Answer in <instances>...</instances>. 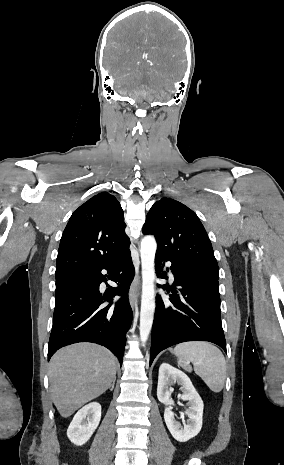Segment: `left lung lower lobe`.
<instances>
[{
  "instance_id": "1",
  "label": "left lung lower lobe",
  "mask_w": 284,
  "mask_h": 465,
  "mask_svg": "<svg viewBox=\"0 0 284 465\" xmlns=\"http://www.w3.org/2000/svg\"><path fill=\"white\" fill-rule=\"evenodd\" d=\"M163 261L169 260L156 253L157 277L166 279V272L161 273ZM170 269L175 279L172 287L158 284L173 295L165 300L157 295L150 365L159 352L186 341H209L226 352L218 280L175 263Z\"/></svg>"
}]
</instances>
